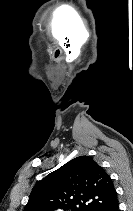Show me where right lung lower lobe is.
<instances>
[{
	"label": "right lung lower lobe",
	"mask_w": 133,
	"mask_h": 211,
	"mask_svg": "<svg viewBox=\"0 0 133 211\" xmlns=\"http://www.w3.org/2000/svg\"><path fill=\"white\" fill-rule=\"evenodd\" d=\"M107 211H119L118 202L114 206H112L110 209H108Z\"/></svg>",
	"instance_id": "obj_1"
}]
</instances>
